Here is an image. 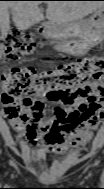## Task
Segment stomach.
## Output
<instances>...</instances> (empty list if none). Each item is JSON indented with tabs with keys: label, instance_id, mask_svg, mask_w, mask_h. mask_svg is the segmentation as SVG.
<instances>
[{
	"label": "stomach",
	"instance_id": "stomach-1",
	"mask_svg": "<svg viewBox=\"0 0 104 189\" xmlns=\"http://www.w3.org/2000/svg\"><path fill=\"white\" fill-rule=\"evenodd\" d=\"M102 10L96 11L90 18L75 22L72 27L51 25L43 30L46 38L57 41V45L66 53H79L82 44L90 42L96 33L103 29Z\"/></svg>",
	"mask_w": 104,
	"mask_h": 189
}]
</instances>
